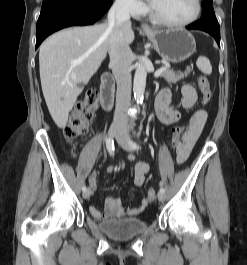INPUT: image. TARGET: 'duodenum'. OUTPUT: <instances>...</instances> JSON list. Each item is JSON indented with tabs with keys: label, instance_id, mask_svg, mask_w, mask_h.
Segmentation results:
<instances>
[{
	"label": "duodenum",
	"instance_id": "duodenum-1",
	"mask_svg": "<svg viewBox=\"0 0 247 265\" xmlns=\"http://www.w3.org/2000/svg\"><path fill=\"white\" fill-rule=\"evenodd\" d=\"M114 95V79L110 74L101 79V105L105 111L111 109Z\"/></svg>",
	"mask_w": 247,
	"mask_h": 265
}]
</instances>
